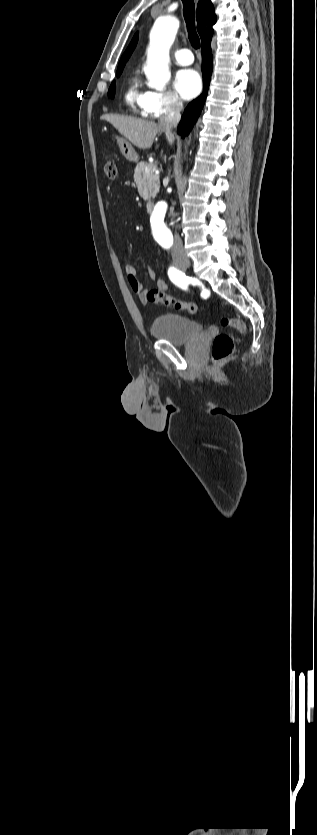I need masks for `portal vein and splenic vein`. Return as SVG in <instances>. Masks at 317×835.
Listing matches in <instances>:
<instances>
[{
	"label": "portal vein and splenic vein",
	"mask_w": 317,
	"mask_h": 835,
	"mask_svg": "<svg viewBox=\"0 0 317 835\" xmlns=\"http://www.w3.org/2000/svg\"><path fill=\"white\" fill-rule=\"evenodd\" d=\"M150 170H153L155 173H157L158 172L157 165L152 164L151 167L145 168V172H149Z\"/></svg>",
	"instance_id": "portal-vein-and-splenic-vein-1"
}]
</instances>
